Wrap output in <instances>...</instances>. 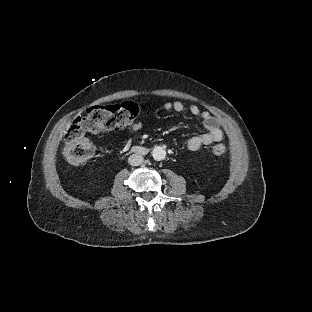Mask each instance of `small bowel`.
<instances>
[{
  "label": "small bowel",
  "mask_w": 312,
  "mask_h": 312,
  "mask_svg": "<svg viewBox=\"0 0 312 312\" xmlns=\"http://www.w3.org/2000/svg\"><path fill=\"white\" fill-rule=\"evenodd\" d=\"M164 108L167 111L174 110L177 113L184 111L185 106L180 101L166 102ZM192 116L200 117L206 132L201 135L191 137L187 142V147L191 151L198 150L203 145L219 142L223 138V130L220 120L208 111L202 110L198 105L193 104L189 107ZM143 126L141 120H136L130 124L129 129L133 132L140 130Z\"/></svg>",
  "instance_id": "obj_1"
}]
</instances>
